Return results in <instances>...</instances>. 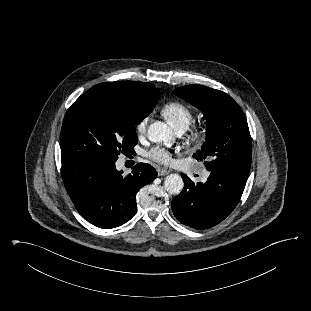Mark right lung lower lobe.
I'll use <instances>...</instances> for the list:
<instances>
[{
	"instance_id": "obj_1",
	"label": "right lung lower lobe",
	"mask_w": 311,
	"mask_h": 311,
	"mask_svg": "<svg viewBox=\"0 0 311 311\" xmlns=\"http://www.w3.org/2000/svg\"><path fill=\"white\" fill-rule=\"evenodd\" d=\"M115 162H62V179L78 212L91 224L115 228L136 213V194L152 182L157 172L147 163H139L127 176Z\"/></svg>"
}]
</instances>
